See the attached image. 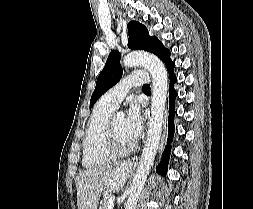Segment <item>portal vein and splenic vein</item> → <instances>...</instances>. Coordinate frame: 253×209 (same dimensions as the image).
Segmentation results:
<instances>
[{
  "mask_svg": "<svg viewBox=\"0 0 253 209\" xmlns=\"http://www.w3.org/2000/svg\"><path fill=\"white\" fill-rule=\"evenodd\" d=\"M115 196H111L109 200L108 209H112L114 206Z\"/></svg>",
  "mask_w": 253,
  "mask_h": 209,
  "instance_id": "1",
  "label": "portal vein and splenic vein"
}]
</instances>
